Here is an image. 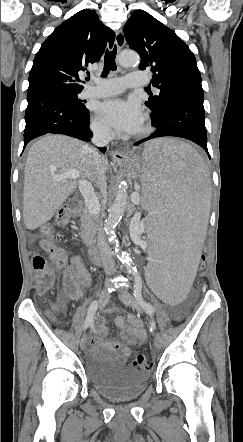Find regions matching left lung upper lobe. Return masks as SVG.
Masks as SVG:
<instances>
[{
    "mask_svg": "<svg viewBox=\"0 0 243 442\" xmlns=\"http://www.w3.org/2000/svg\"><path fill=\"white\" fill-rule=\"evenodd\" d=\"M130 48L141 56L140 70L152 72V84L160 89L146 106L159 115L168 98L184 88L202 89L196 58L175 32L145 11H134L124 27Z\"/></svg>",
    "mask_w": 243,
    "mask_h": 442,
    "instance_id": "left-lung-upper-lobe-1",
    "label": "left lung upper lobe"
}]
</instances>
